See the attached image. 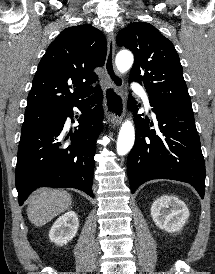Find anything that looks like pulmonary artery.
Instances as JSON below:
<instances>
[{
	"mask_svg": "<svg viewBox=\"0 0 215 274\" xmlns=\"http://www.w3.org/2000/svg\"><path fill=\"white\" fill-rule=\"evenodd\" d=\"M133 89H134L136 92H138V93L141 94L145 106H146L147 108H150L149 98H148V96H147L145 90H144L142 87H140L139 85H133Z\"/></svg>",
	"mask_w": 215,
	"mask_h": 274,
	"instance_id": "1",
	"label": "pulmonary artery"
}]
</instances>
